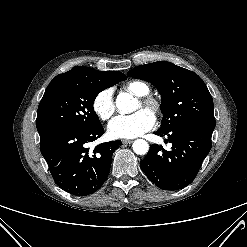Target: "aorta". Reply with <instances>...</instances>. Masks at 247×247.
<instances>
[{"label": "aorta", "mask_w": 247, "mask_h": 247, "mask_svg": "<svg viewBox=\"0 0 247 247\" xmlns=\"http://www.w3.org/2000/svg\"><path fill=\"white\" fill-rule=\"evenodd\" d=\"M116 106L120 113L128 114L135 110L134 99L128 93H120L116 99ZM133 151L138 155H144L149 150V144L146 140H135L132 145Z\"/></svg>", "instance_id": "obj_1"}]
</instances>
